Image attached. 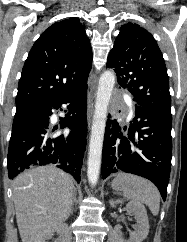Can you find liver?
Here are the masks:
<instances>
[{"mask_svg":"<svg viewBox=\"0 0 187 242\" xmlns=\"http://www.w3.org/2000/svg\"><path fill=\"white\" fill-rule=\"evenodd\" d=\"M12 190L22 242H39L67 220L76 191L71 176L54 165L24 171Z\"/></svg>","mask_w":187,"mask_h":242,"instance_id":"obj_1","label":"liver"}]
</instances>
